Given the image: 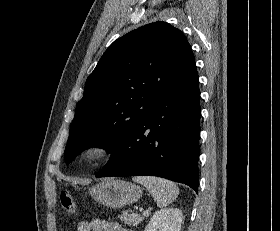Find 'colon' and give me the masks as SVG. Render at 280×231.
Returning <instances> with one entry per match:
<instances>
[{
  "label": "colon",
  "instance_id": "colon-1",
  "mask_svg": "<svg viewBox=\"0 0 280 231\" xmlns=\"http://www.w3.org/2000/svg\"><path fill=\"white\" fill-rule=\"evenodd\" d=\"M60 203L62 205L63 212L64 213H72L74 206H75V200L72 194L69 191H62L59 196Z\"/></svg>",
  "mask_w": 280,
  "mask_h": 231
}]
</instances>
